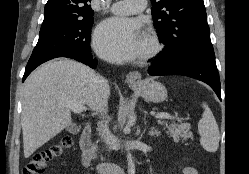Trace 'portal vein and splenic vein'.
<instances>
[{
    "instance_id": "obj_1",
    "label": "portal vein and splenic vein",
    "mask_w": 249,
    "mask_h": 174,
    "mask_svg": "<svg viewBox=\"0 0 249 174\" xmlns=\"http://www.w3.org/2000/svg\"><path fill=\"white\" fill-rule=\"evenodd\" d=\"M68 107L74 112V113H82L87 110V107L81 104H69ZM157 119H174L173 116H171L168 113H158L155 116Z\"/></svg>"
}]
</instances>
